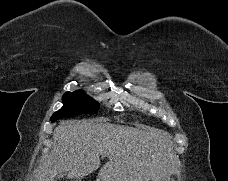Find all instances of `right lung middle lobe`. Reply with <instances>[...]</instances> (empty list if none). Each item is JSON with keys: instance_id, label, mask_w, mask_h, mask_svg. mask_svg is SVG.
Instances as JSON below:
<instances>
[{"instance_id": "obj_1", "label": "right lung middle lobe", "mask_w": 228, "mask_h": 181, "mask_svg": "<svg viewBox=\"0 0 228 181\" xmlns=\"http://www.w3.org/2000/svg\"><path fill=\"white\" fill-rule=\"evenodd\" d=\"M62 101L63 107L50 118L52 122L79 114L97 113L99 109V103L90 99L82 91L66 92Z\"/></svg>"}]
</instances>
